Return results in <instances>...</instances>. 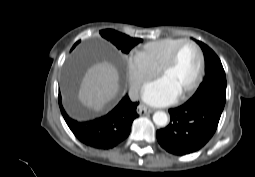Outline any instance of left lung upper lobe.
I'll return each mask as SVG.
<instances>
[{
	"label": "left lung upper lobe",
	"mask_w": 255,
	"mask_h": 177,
	"mask_svg": "<svg viewBox=\"0 0 255 177\" xmlns=\"http://www.w3.org/2000/svg\"><path fill=\"white\" fill-rule=\"evenodd\" d=\"M203 50L206 74L203 82L190 101L196 102L204 98L215 97L226 101V76L220 59L207 45L196 41Z\"/></svg>",
	"instance_id": "5c2ea615"
}]
</instances>
